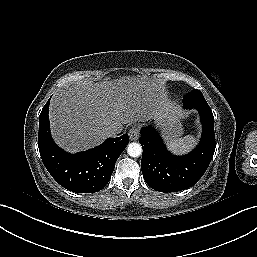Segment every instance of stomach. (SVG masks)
<instances>
[{"label": "stomach", "instance_id": "obj_1", "mask_svg": "<svg viewBox=\"0 0 257 257\" xmlns=\"http://www.w3.org/2000/svg\"><path fill=\"white\" fill-rule=\"evenodd\" d=\"M154 122L162 126L166 139H174L183 133L182 125L171 113L162 112L154 116Z\"/></svg>", "mask_w": 257, "mask_h": 257}]
</instances>
